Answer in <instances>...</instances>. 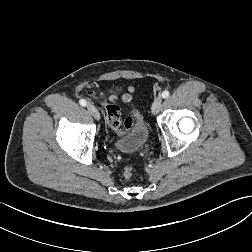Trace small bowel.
Wrapping results in <instances>:
<instances>
[{"instance_id": "small-bowel-1", "label": "small bowel", "mask_w": 252, "mask_h": 252, "mask_svg": "<svg viewBox=\"0 0 252 252\" xmlns=\"http://www.w3.org/2000/svg\"><path fill=\"white\" fill-rule=\"evenodd\" d=\"M133 91L134 89L132 87H129L127 92L124 93L122 96L119 97L118 95L113 94L109 97V99L111 102L114 103L121 101L126 105H131L133 102Z\"/></svg>"}]
</instances>
